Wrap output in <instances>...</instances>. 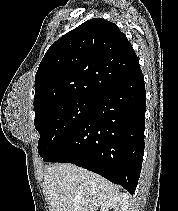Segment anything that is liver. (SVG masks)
<instances>
[{"instance_id": "liver-1", "label": "liver", "mask_w": 178, "mask_h": 211, "mask_svg": "<svg viewBox=\"0 0 178 211\" xmlns=\"http://www.w3.org/2000/svg\"><path fill=\"white\" fill-rule=\"evenodd\" d=\"M44 188L51 211H97L119 193L100 175L66 163L45 167Z\"/></svg>"}]
</instances>
